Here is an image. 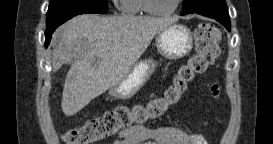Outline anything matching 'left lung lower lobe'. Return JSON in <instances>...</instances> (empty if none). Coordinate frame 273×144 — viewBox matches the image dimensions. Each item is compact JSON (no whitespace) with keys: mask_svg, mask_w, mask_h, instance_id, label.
I'll list each match as a JSON object with an SVG mask.
<instances>
[{"mask_svg":"<svg viewBox=\"0 0 273 144\" xmlns=\"http://www.w3.org/2000/svg\"><path fill=\"white\" fill-rule=\"evenodd\" d=\"M193 13L214 18L215 20L220 22L223 26H225L228 31H230V19H229V14L226 8L225 0H219L218 4L205 3L204 5H200L198 9L193 11ZM193 13H188V14H193ZM181 15H186V14L181 13Z\"/></svg>","mask_w":273,"mask_h":144,"instance_id":"1","label":"left lung lower lobe"}]
</instances>
